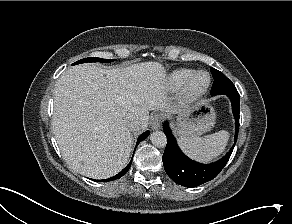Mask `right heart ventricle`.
<instances>
[{"label": "right heart ventricle", "mask_w": 292, "mask_h": 224, "mask_svg": "<svg viewBox=\"0 0 292 224\" xmlns=\"http://www.w3.org/2000/svg\"><path fill=\"white\" fill-rule=\"evenodd\" d=\"M195 72V70L187 68L174 70L168 76L167 84L173 90L181 89Z\"/></svg>", "instance_id": "right-heart-ventricle-1"}]
</instances>
